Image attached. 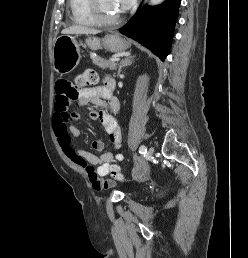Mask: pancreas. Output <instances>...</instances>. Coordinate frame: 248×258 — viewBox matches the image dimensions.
<instances>
[{
	"mask_svg": "<svg viewBox=\"0 0 248 258\" xmlns=\"http://www.w3.org/2000/svg\"><path fill=\"white\" fill-rule=\"evenodd\" d=\"M90 57L95 65L102 69L109 68L110 70H115L117 67V62L108 61L96 56L94 53H90Z\"/></svg>",
	"mask_w": 248,
	"mask_h": 258,
	"instance_id": "obj_1",
	"label": "pancreas"
}]
</instances>
